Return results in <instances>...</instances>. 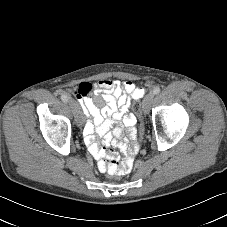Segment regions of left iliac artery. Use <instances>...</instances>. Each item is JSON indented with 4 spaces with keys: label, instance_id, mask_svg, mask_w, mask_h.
<instances>
[{
    "label": "left iliac artery",
    "instance_id": "44dca946",
    "mask_svg": "<svg viewBox=\"0 0 227 227\" xmlns=\"http://www.w3.org/2000/svg\"><path fill=\"white\" fill-rule=\"evenodd\" d=\"M160 91H161L160 87H155L154 90H153V93H154L155 95H157V94L160 93Z\"/></svg>",
    "mask_w": 227,
    "mask_h": 227
}]
</instances>
